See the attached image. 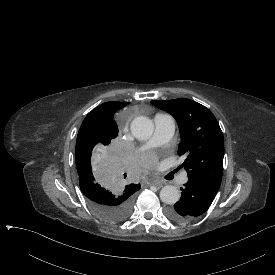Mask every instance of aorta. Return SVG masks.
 I'll return each instance as SVG.
<instances>
[{
	"mask_svg": "<svg viewBox=\"0 0 275 275\" xmlns=\"http://www.w3.org/2000/svg\"><path fill=\"white\" fill-rule=\"evenodd\" d=\"M130 128L137 140H147L154 132V123L148 117L139 116L131 122ZM160 199L165 204H175L180 199V192L176 187L166 185L160 191Z\"/></svg>",
	"mask_w": 275,
	"mask_h": 275,
	"instance_id": "1",
	"label": "aorta"
}]
</instances>
